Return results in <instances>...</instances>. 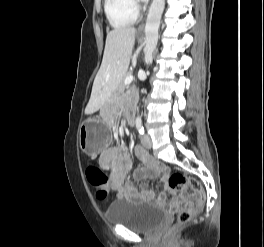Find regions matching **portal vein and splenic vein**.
Returning <instances> with one entry per match:
<instances>
[{"label":"portal vein and splenic vein","instance_id":"obj_1","mask_svg":"<svg viewBox=\"0 0 264 247\" xmlns=\"http://www.w3.org/2000/svg\"><path fill=\"white\" fill-rule=\"evenodd\" d=\"M133 80H134V77L130 75V76H128V77L125 78V80H124V84H125V85H128V84H130Z\"/></svg>","mask_w":264,"mask_h":247}]
</instances>
